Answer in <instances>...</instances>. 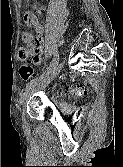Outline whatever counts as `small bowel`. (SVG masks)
Listing matches in <instances>:
<instances>
[{
	"label": "small bowel",
	"mask_w": 123,
	"mask_h": 167,
	"mask_svg": "<svg viewBox=\"0 0 123 167\" xmlns=\"http://www.w3.org/2000/svg\"><path fill=\"white\" fill-rule=\"evenodd\" d=\"M23 21V26L29 25L35 27L37 37L34 38L31 32H24L22 35V41L26 44V47L29 50V56L32 58V63L34 65H38L42 61L43 48L46 42V34L33 13H26L24 15Z\"/></svg>",
	"instance_id": "obj_1"
}]
</instances>
